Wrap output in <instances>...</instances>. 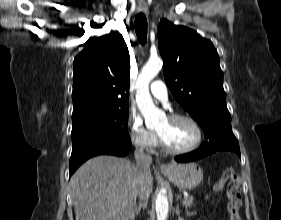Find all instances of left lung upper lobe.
Here are the masks:
<instances>
[{"label":"left lung upper lobe","instance_id":"obj_1","mask_svg":"<svg viewBox=\"0 0 281 220\" xmlns=\"http://www.w3.org/2000/svg\"><path fill=\"white\" fill-rule=\"evenodd\" d=\"M158 46L167 86L201 125L208 143L238 144L226 105L219 56L212 42L163 19L158 26Z\"/></svg>","mask_w":281,"mask_h":220}]
</instances>
